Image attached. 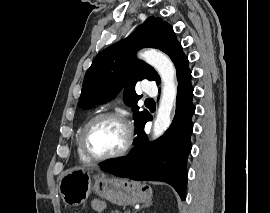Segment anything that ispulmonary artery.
<instances>
[{
    "instance_id": "e3ab8cb5",
    "label": "pulmonary artery",
    "mask_w": 270,
    "mask_h": 213,
    "mask_svg": "<svg viewBox=\"0 0 270 213\" xmlns=\"http://www.w3.org/2000/svg\"><path fill=\"white\" fill-rule=\"evenodd\" d=\"M157 86L154 82L147 81L144 83L143 92L149 96H155L157 94Z\"/></svg>"
}]
</instances>
